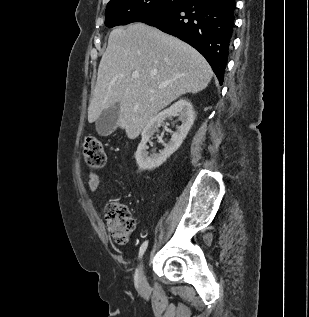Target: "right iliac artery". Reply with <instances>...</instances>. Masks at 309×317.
I'll return each mask as SVG.
<instances>
[{"instance_id":"right-iliac-artery-1","label":"right iliac artery","mask_w":309,"mask_h":317,"mask_svg":"<svg viewBox=\"0 0 309 317\" xmlns=\"http://www.w3.org/2000/svg\"><path fill=\"white\" fill-rule=\"evenodd\" d=\"M147 246H148V241H144V242L142 243V245L140 246L139 256H138L139 259L143 256V254H144V252H145ZM137 281H138V270H136V282H137Z\"/></svg>"}]
</instances>
